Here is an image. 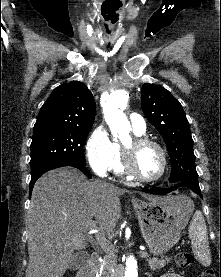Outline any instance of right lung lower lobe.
Masks as SVG:
<instances>
[{"instance_id":"right-lung-lower-lobe-1","label":"right lung lower lobe","mask_w":221,"mask_h":277,"mask_svg":"<svg viewBox=\"0 0 221 277\" xmlns=\"http://www.w3.org/2000/svg\"><path fill=\"white\" fill-rule=\"evenodd\" d=\"M64 166H71V167H75L79 170H81L87 177L91 178V175L89 173V171L86 169L85 166L83 165H79V164H76V163H71V164H67V165H64ZM40 177V176H39ZM39 177H36V178H31V182H30V186H29V189H30V196H31V192H32V189H33V186L35 184V182L37 181V179Z\"/></svg>"}]
</instances>
